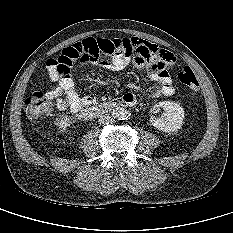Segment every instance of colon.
Here are the masks:
<instances>
[{"label":"colon","instance_id":"1","mask_svg":"<svg viewBox=\"0 0 233 233\" xmlns=\"http://www.w3.org/2000/svg\"><path fill=\"white\" fill-rule=\"evenodd\" d=\"M132 45L126 39H93L88 38L71 47L65 48L62 54L52 59V63L61 75L70 74L76 62H98L116 54H131ZM179 81L190 88L198 90L199 81L190 67H184L178 74ZM55 94L36 91L25 100L27 114L38 118L52 111L55 105Z\"/></svg>","mask_w":233,"mask_h":233}]
</instances>
